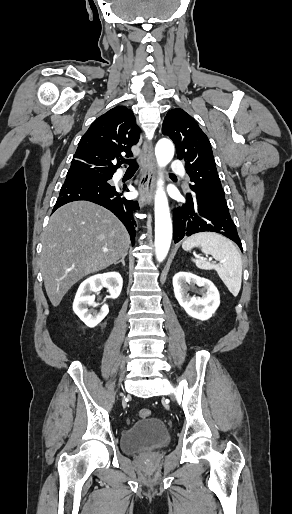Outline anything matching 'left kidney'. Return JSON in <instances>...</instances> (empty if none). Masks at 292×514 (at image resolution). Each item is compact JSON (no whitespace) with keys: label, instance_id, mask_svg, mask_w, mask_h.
<instances>
[{"label":"left kidney","instance_id":"5707ae66","mask_svg":"<svg viewBox=\"0 0 292 514\" xmlns=\"http://www.w3.org/2000/svg\"><path fill=\"white\" fill-rule=\"evenodd\" d=\"M188 284H197L202 286L200 290L202 298H190L187 292L191 290ZM173 288L176 300L180 306L184 308L188 316L197 318V320H209L212 314H215L217 308L220 306V296L217 288L210 280L199 278L190 272H178L173 278Z\"/></svg>","mask_w":292,"mask_h":514}]
</instances>
